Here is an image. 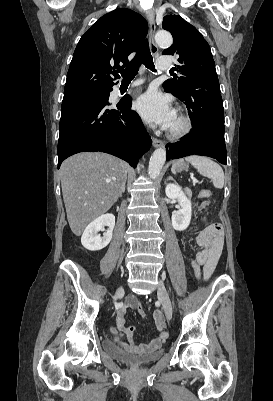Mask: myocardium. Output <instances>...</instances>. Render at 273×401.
Segmentation results:
<instances>
[{"instance_id": "1", "label": "myocardium", "mask_w": 273, "mask_h": 401, "mask_svg": "<svg viewBox=\"0 0 273 401\" xmlns=\"http://www.w3.org/2000/svg\"><path fill=\"white\" fill-rule=\"evenodd\" d=\"M177 116L180 121V126L176 129H169L167 132L168 137L172 139L185 138L191 134L194 128L193 120L188 115L180 111Z\"/></svg>"}]
</instances>
